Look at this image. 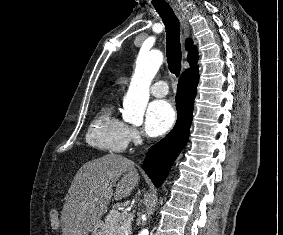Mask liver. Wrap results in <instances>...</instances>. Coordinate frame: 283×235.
I'll use <instances>...</instances> for the list:
<instances>
[{"label": "liver", "mask_w": 283, "mask_h": 235, "mask_svg": "<svg viewBox=\"0 0 283 235\" xmlns=\"http://www.w3.org/2000/svg\"><path fill=\"white\" fill-rule=\"evenodd\" d=\"M139 180L135 163L118 154L85 163L76 173L63 206V235H88L106 213L111 198L128 197Z\"/></svg>", "instance_id": "obj_1"}]
</instances>
